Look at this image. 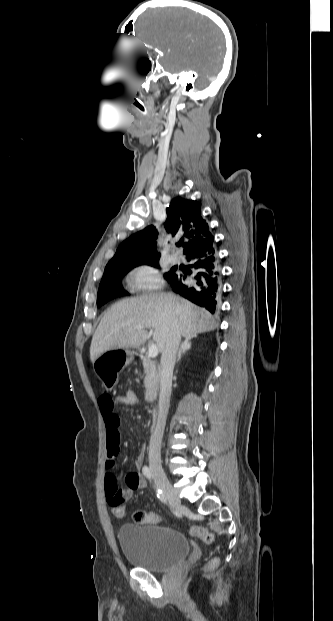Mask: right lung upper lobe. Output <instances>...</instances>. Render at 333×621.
<instances>
[{"label":"right lung upper lobe","instance_id":"1","mask_svg":"<svg viewBox=\"0 0 333 621\" xmlns=\"http://www.w3.org/2000/svg\"><path fill=\"white\" fill-rule=\"evenodd\" d=\"M166 212L167 219L164 223L166 231L173 237L187 238V241L182 244L184 254L204 250L214 244V237L210 233L208 224L201 217L199 202L177 197L171 201ZM157 235L158 232L153 225L136 232L119 245L107 266L158 259L160 254L157 252L155 242ZM182 242L183 238L177 246Z\"/></svg>","mask_w":333,"mask_h":621}]
</instances>
